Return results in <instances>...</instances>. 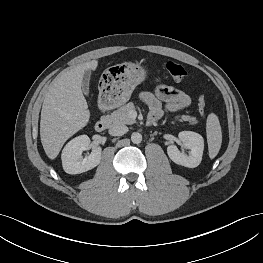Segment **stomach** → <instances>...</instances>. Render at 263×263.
I'll list each match as a JSON object with an SVG mask.
<instances>
[{"instance_id": "stomach-1", "label": "stomach", "mask_w": 263, "mask_h": 263, "mask_svg": "<svg viewBox=\"0 0 263 263\" xmlns=\"http://www.w3.org/2000/svg\"><path fill=\"white\" fill-rule=\"evenodd\" d=\"M148 74V69L139 63H122L107 68L102 77L100 95L112 106L127 102L133 90L142 83Z\"/></svg>"}]
</instances>
